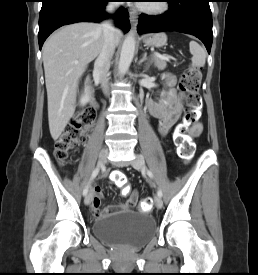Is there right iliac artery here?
Wrapping results in <instances>:
<instances>
[{
    "label": "right iliac artery",
    "instance_id": "1",
    "mask_svg": "<svg viewBox=\"0 0 258 275\" xmlns=\"http://www.w3.org/2000/svg\"><path fill=\"white\" fill-rule=\"evenodd\" d=\"M102 165H98L94 171L92 172V175H91V178H90V181L88 182V184L85 186L84 190H83V195L86 196L87 193H88V188H89V184L90 182L99 174V171H100V167Z\"/></svg>",
    "mask_w": 258,
    "mask_h": 275
}]
</instances>
